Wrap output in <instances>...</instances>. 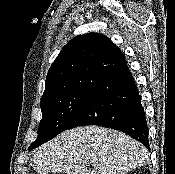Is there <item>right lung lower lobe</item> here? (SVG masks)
I'll list each match as a JSON object with an SVG mask.
<instances>
[{
    "label": "right lung lower lobe",
    "instance_id": "right-lung-lower-lobe-1",
    "mask_svg": "<svg viewBox=\"0 0 175 174\" xmlns=\"http://www.w3.org/2000/svg\"><path fill=\"white\" fill-rule=\"evenodd\" d=\"M86 125L122 131L149 149L144 108L127 65L114 71L92 88L67 129Z\"/></svg>",
    "mask_w": 175,
    "mask_h": 174
}]
</instances>
